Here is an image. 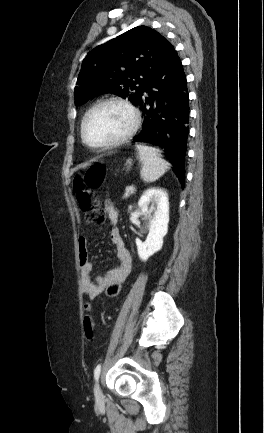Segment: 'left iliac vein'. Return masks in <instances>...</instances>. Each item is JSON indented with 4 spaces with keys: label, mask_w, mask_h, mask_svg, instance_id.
<instances>
[{
    "label": "left iliac vein",
    "mask_w": 264,
    "mask_h": 433,
    "mask_svg": "<svg viewBox=\"0 0 264 433\" xmlns=\"http://www.w3.org/2000/svg\"><path fill=\"white\" fill-rule=\"evenodd\" d=\"M94 394L98 403L103 401V394L99 382H97L95 385Z\"/></svg>",
    "instance_id": "obj_1"
}]
</instances>
